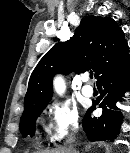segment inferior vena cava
Masks as SVG:
<instances>
[{"instance_id":"inferior-vena-cava-1","label":"inferior vena cava","mask_w":130,"mask_h":153,"mask_svg":"<svg viewBox=\"0 0 130 153\" xmlns=\"http://www.w3.org/2000/svg\"><path fill=\"white\" fill-rule=\"evenodd\" d=\"M75 131H76V129H75ZM68 143H71V139L68 141ZM71 149V146L69 147V149L68 150H70Z\"/></svg>"}]
</instances>
